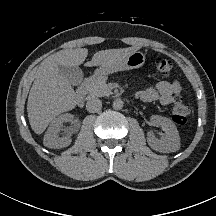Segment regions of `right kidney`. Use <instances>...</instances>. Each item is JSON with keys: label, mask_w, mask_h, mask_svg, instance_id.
<instances>
[{"label": "right kidney", "mask_w": 216, "mask_h": 216, "mask_svg": "<svg viewBox=\"0 0 216 216\" xmlns=\"http://www.w3.org/2000/svg\"><path fill=\"white\" fill-rule=\"evenodd\" d=\"M73 118L74 116L69 113L56 117L44 135L43 144L49 148H63L69 146L71 138L68 135L65 137H59V132L63 123L71 122L73 121Z\"/></svg>", "instance_id": "right-kidney-1"}]
</instances>
